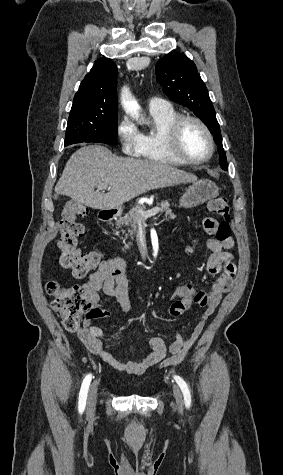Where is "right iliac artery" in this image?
Listing matches in <instances>:
<instances>
[{
	"label": "right iliac artery",
	"mask_w": 283,
	"mask_h": 475,
	"mask_svg": "<svg viewBox=\"0 0 283 475\" xmlns=\"http://www.w3.org/2000/svg\"><path fill=\"white\" fill-rule=\"evenodd\" d=\"M91 379H92V375L88 374L83 380V383L80 389L79 402H78V408H79L80 413L84 411L85 406H86L87 393H88Z\"/></svg>",
	"instance_id": "right-iliac-artery-1"
}]
</instances>
